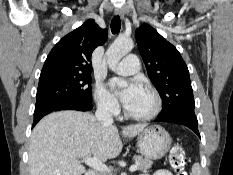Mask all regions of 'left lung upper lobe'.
<instances>
[{"label":"left lung upper lobe","mask_w":233,"mask_h":175,"mask_svg":"<svg viewBox=\"0 0 233 175\" xmlns=\"http://www.w3.org/2000/svg\"><path fill=\"white\" fill-rule=\"evenodd\" d=\"M135 35L148 76L162 98L158 116L194 113L189 71L179 51L150 25L140 26Z\"/></svg>","instance_id":"left-lung-upper-lobe-1"}]
</instances>
